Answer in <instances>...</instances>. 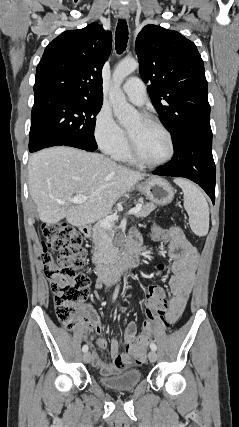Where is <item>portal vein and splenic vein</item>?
Instances as JSON below:
<instances>
[{
  "label": "portal vein and splenic vein",
  "mask_w": 239,
  "mask_h": 427,
  "mask_svg": "<svg viewBox=\"0 0 239 427\" xmlns=\"http://www.w3.org/2000/svg\"><path fill=\"white\" fill-rule=\"evenodd\" d=\"M87 199L86 196L83 195H75L73 198L69 199V202L74 203V204H79L84 202ZM59 203L64 204V201H58ZM142 209V204H137L134 208H132L131 210H129L128 214H136L138 213L140 210ZM119 216L116 214L107 216L106 218L102 219L99 221V225L104 228V229H110L111 228V223L118 220Z\"/></svg>",
  "instance_id": "portal-vein-and-splenic-vein-1"
}]
</instances>
